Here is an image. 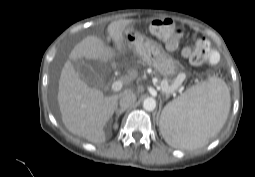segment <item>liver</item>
Returning <instances> with one entry per match:
<instances>
[{
    "instance_id": "6515ba94",
    "label": "liver",
    "mask_w": 255,
    "mask_h": 177,
    "mask_svg": "<svg viewBox=\"0 0 255 177\" xmlns=\"http://www.w3.org/2000/svg\"><path fill=\"white\" fill-rule=\"evenodd\" d=\"M132 20H118L108 25L109 37L114 41L119 54L124 53V33ZM116 52L96 36H87L79 42L69 55L61 71L58 87V104L62 121L73 134L84 137L92 143L106 140L104 127L117 110L118 100L125 93L104 96L103 92L89 87L76 72L71 61L85 58L108 62Z\"/></svg>"
}]
</instances>
